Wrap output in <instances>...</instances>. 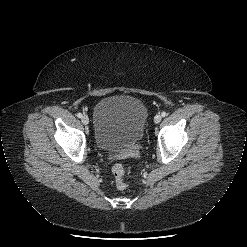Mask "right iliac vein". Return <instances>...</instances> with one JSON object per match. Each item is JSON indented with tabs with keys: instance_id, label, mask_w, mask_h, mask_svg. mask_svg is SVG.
Listing matches in <instances>:
<instances>
[{
	"instance_id": "obj_1",
	"label": "right iliac vein",
	"mask_w": 247,
	"mask_h": 247,
	"mask_svg": "<svg viewBox=\"0 0 247 247\" xmlns=\"http://www.w3.org/2000/svg\"><path fill=\"white\" fill-rule=\"evenodd\" d=\"M81 121H82V123H83L84 125H87V124L89 123V118H88L86 115H84V116L81 118Z\"/></svg>"
}]
</instances>
